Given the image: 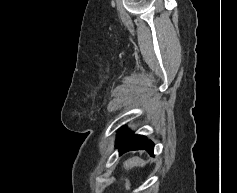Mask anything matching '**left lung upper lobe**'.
<instances>
[{
    "label": "left lung upper lobe",
    "mask_w": 237,
    "mask_h": 193,
    "mask_svg": "<svg viewBox=\"0 0 237 193\" xmlns=\"http://www.w3.org/2000/svg\"><path fill=\"white\" fill-rule=\"evenodd\" d=\"M124 131H125V128H122V129L119 130V138L121 137V135L123 134ZM119 138H118V139H119ZM117 141H118V140H117Z\"/></svg>",
    "instance_id": "obj_1"
}]
</instances>
